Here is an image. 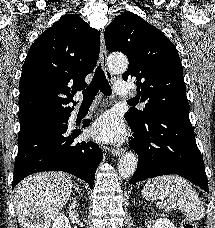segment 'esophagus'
I'll return each instance as SVG.
<instances>
[{
	"label": "esophagus",
	"instance_id": "obj_1",
	"mask_svg": "<svg viewBox=\"0 0 215 228\" xmlns=\"http://www.w3.org/2000/svg\"><path fill=\"white\" fill-rule=\"evenodd\" d=\"M100 59H101L102 67L104 69L107 79L112 81L113 75L107 66V50H106V46H105V40H104L103 33H101V35H100ZM124 151L125 150L122 147L116 148L113 150V154L116 156H121L124 153Z\"/></svg>",
	"mask_w": 215,
	"mask_h": 228
}]
</instances>
